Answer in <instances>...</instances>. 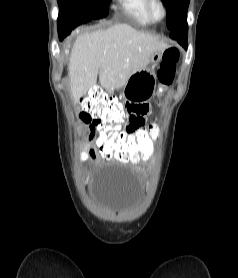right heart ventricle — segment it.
<instances>
[{
  "instance_id": "right-heart-ventricle-1",
  "label": "right heart ventricle",
  "mask_w": 238,
  "mask_h": 278,
  "mask_svg": "<svg viewBox=\"0 0 238 278\" xmlns=\"http://www.w3.org/2000/svg\"><path fill=\"white\" fill-rule=\"evenodd\" d=\"M122 9L136 21L148 24L150 20L146 12V0H119Z\"/></svg>"
}]
</instances>
